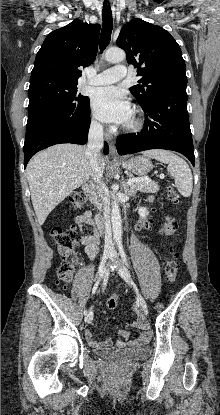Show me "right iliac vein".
I'll list each match as a JSON object with an SVG mask.
<instances>
[{"instance_id": "1", "label": "right iliac vein", "mask_w": 220, "mask_h": 415, "mask_svg": "<svg viewBox=\"0 0 220 415\" xmlns=\"http://www.w3.org/2000/svg\"><path fill=\"white\" fill-rule=\"evenodd\" d=\"M109 255H110V252H105L104 256H103V258H102V260L99 264L98 271H97L99 278H102L105 274V270H106L105 265H106V261H107V258L109 257ZM92 320H93V312L91 311L86 315L85 322L90 323Z\"/></svg>"}]
</instances>
